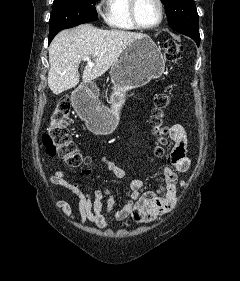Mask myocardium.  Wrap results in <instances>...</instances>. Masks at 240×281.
I'll return each mask as SVG.
<instances>
[{"label": "myocardium", "instance_id": "f54148a6", "mask_svg": "<svg viewBox=\"0 0 240 281\" xmlns=\"http://www.w3.org/2000/svg\"><path fill=\"white\" fill-rule=\"evenodd\" d=\"M139 0H129V15H130V19L132 21V23L134 24V26L137 29H141V30H153L158 28L165 17V6H164V2L163 0H156L158 6H159V12H160V16L158 21L150 26H146L143 25L139 19H138V15H137V5H138Z\"/></svg>", "mask_w": 240, "mask_h": 281}]
</instances>
